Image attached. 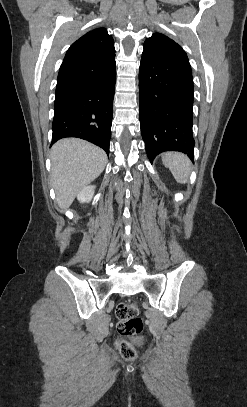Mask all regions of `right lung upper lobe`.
I'll return each mask as SVG.
<instances>
[{"label": "right lung upper lobe", "mask_w": 247, "mask_h": 407, "mask_svg": "<svg viewBox=\"0 0 247 407\" xmlns=\"http://www.w3.org/2000/svg\"><path fill=\"white\" fill-rule=\"evenodd\" d=\"M114 58V41L105 28L87 32L67 50L59 70L56 88L78 81L95 67Z\"/></svg>", "instance_id": "obj_1"}]
</instances>
